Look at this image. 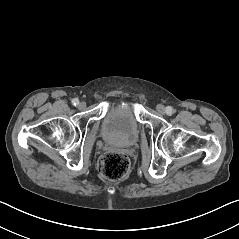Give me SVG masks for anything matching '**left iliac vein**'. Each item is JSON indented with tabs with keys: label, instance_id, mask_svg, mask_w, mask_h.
Returning a JSON list of instances; mask_svg holds the SVG:
<instances>
[{
	"label": "left iliac vein",
	"instance_id": "1",
	"mask_svg": "<svg viewBox=\"0 0 239 239\" xmlns=\"http://www.w3.org/2000/svg\"><path fill=\"white\" fill-rule=\"evenodd\" d=\"M156 109L160 114H165L166 112V108L162 104L157 105Z\"/></svg>",
	"mask_w": 239,
	"mask_h": 239
}]
</instances>
